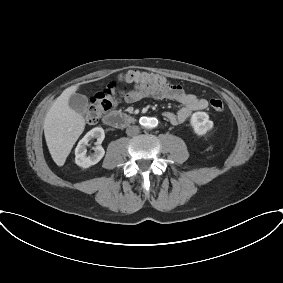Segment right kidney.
I'll return each instance as SVG.
<instances>
[{
  "mask_svg": "<svg viewBox=\"0 0 283 283\" xmlns=\"http://www.w3.org/2000/svg\"><path fill=\"white\" fill-rule=\"evenodd\" d=\"M97 139V146L94 149V153L87 156V145L91 139ZM105 138L103 128L95 127L90 130L78 143L75 149V163L83 168H88L97 164L104 156L105 150L101 146L102 141Z\"/></svg>",
  "mask_w": 283,
  "mask_h": 283,
  "instance_id": "right-kidney-1",
  "label": "right kidney"
}]
</instances>
